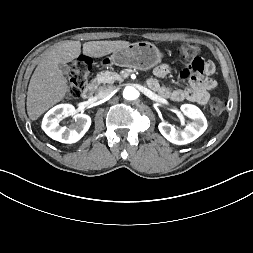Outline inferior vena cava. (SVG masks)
Here are the masks:
<instances>
[{
    "label": "inferior vena cava",
    "instance_id": "1",
    "mask_svg": "<svg viewBox=\"0 0 253 253\" xmlns=\"http://www.w3.org/2000/svg\"><path fill=\"white\" fill-rule=\"evenodd\" d=\"M114 91L113 86H101L98 90L97 97L103 99L108 97Z\"/></svg>",
    "mask_w": 253,
    "mask_h": 253
}]
</instances>
